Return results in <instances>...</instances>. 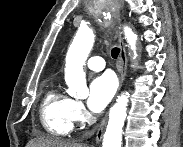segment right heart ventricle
<instances>
[{"label":"right heart ventricle","mask_w":183,"mask_h":147,"mask_svg":"<svg viewBox=\"0 0 183 147\" xmlns=\"http://www.w3.org/2000/svg\"><path fill=\"white\" fill-rule=\"evenodd\" d=\"M74 100L59 89H50L41 104V121L53 136H68L74 127Z\"/></svg>","instance_id":"obj_1"}]
</instances>
